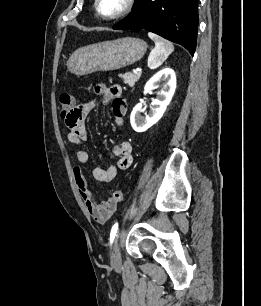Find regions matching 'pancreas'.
Listing matches in <instances>:
<instances>
[{
	"label": "pancreas",
	"instance_id": "obj_1",
	"mask_svg": "<svg viewBox=\"0 0 261 306\" xmlns=\"http://www.w3.org/2000/svg\"><path fill=\"white\" fill-rule=\"evenodd\" d=\"M119 77L124 80L125 84L129 85L130 87H133L135 83L140 79L141 72H138L136 74L132 73L120 74Z\"/></svg>",
	"mask_w": 261,
	"mask_h": 306
}]
</instances>
